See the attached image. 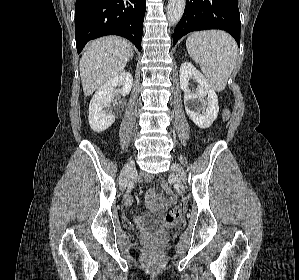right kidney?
Here are the masks:
<instances>
[{
	"mask_svg": "<svg viewBox=\"0 0 299 280\" xmlns=\"http://www.w3.org/2000/svg\"><path fill=\"white\" fill-rule=\"evenodd\" d=\"M122 85L119 93L126 96L131 91L133 77L129 72H123L108 80L98 88L89 104V124L93 131L102 132L109 128L115 121L111 111H106L113 101L116 86Z\"/></svg>",
	"mask_w": 299,
	"mask_h": 280,
	"instance_id": "obj_1",
	"label": "right kidney"
}]
</instances>
